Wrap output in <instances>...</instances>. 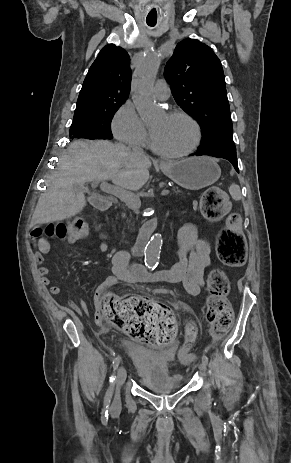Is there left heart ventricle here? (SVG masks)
<instances>
[{
  "instance_id": "b2bd125f",
  "label": "left heart ventricle",
  "mask_w": 291,
  "mask_h": 463,
  "mask_svg": "<svg viewBox=\"0 0 291 463\" xmlns=\"http://www.w3.org/2000/svg\"><path fill=\"white\" fill-rule=\"evenodd\" d=\"M150 127L154 145L164 152L182 151L191 145L194 138L192 126L182 118L162 115Z\"/></svg>"
}]
</instances>
